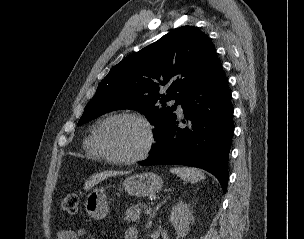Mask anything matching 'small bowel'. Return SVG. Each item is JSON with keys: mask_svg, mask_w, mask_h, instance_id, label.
I'll use <instances>...</instances> for the list:
<instances>
[{"mask_svg": "<svg viewBox=\"0 0 304 239\" xmlns=\"http://www.w3.org/2000/svg\"><path fill=\"white\" fill-rule=\"evenodd\" d=\"M84 237L85 239H95L92 235L84 229H60L56 234V239H80ZM138 234L136 229L128 228L124 233V239H137Z\"/></svg>", "mask_w": 304, "mask_h": 239, "instance_id": "c3829d8e", "label": "small bowel"}]
</instances>
